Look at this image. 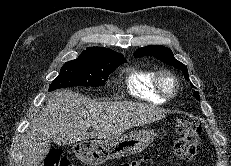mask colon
Segmentation results:
<instances>
[{
    "label": "colon",
    "instance_id": "5ec220e1",
    "mask_svg": "<svg viewBox=\"0 0 231 166\" xmlns=\"http://www.w3.org/2000/svg\"><path fill=\"white\" fill-rule=\"evenodd\" d=\"M178 138L174 144L173 154L177 160L187 162L196 154L201 127L199 123L190 119H178L175 122ZM43 166H73L60 148H53L47 154ZM120 166H153L150 157L143 156L125 161Z\"/></svg>",
    "mask_w": 231,
    "mask_h": 166
}]
</instances>
